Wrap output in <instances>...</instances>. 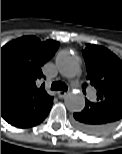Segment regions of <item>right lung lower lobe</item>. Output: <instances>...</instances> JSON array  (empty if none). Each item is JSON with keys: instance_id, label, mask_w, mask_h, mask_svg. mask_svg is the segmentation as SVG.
<instances>
[{"instance_id": "98d812e1", "label": "right lung lower lobe", "mask_w": 122, "mask_h": 154, "mask_svg": "<svg viewBox=\"0 0 122 154\" xmlns=\"http://www.w3.org/2000/svg\"><path fill=\"white\" fill-rule=\"evenodd\" d=\"M50 109L47 112H45L44 114L36 116V117H34V118H32V119H30V120L16 126V127H18V128H27V127H32V126H35V125L41 123L47 117V115L49 114Z\"/></svg>"}]
</instances>
